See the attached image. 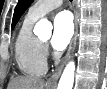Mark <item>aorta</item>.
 I'll use <instances>...</instances> for the list:
<instances>
[{
	"label": "aorta",
	"instance_id": "aorta-1",
	"mask_svg": "<svg viewBox=\"0 0 107 89\" xmlns=\"http://www.w3.org/2000/svg\"><path fill=\"white\" fill-rule=\"evenodd\" d=\"M34 33L38 36L51 37L52 24L47 19H41L34 27ZM75 76V63L70 61L59 80L58 89H72Z\"/></svg>",
	"mask_w": 107,
	"mask_h": 89
}]
</instances>
